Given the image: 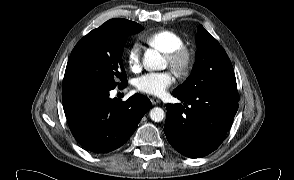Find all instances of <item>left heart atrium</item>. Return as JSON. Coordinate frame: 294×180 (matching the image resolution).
Listing matches in <instances>:
<instances>
[{
	"label": "left heart atrium",
	"instance_id": "obj_1",
	"mask_svg": "<svg viewBox=\"0 0 294 180\" xmlns=\"http://www.w3.org/2000/svg\"><path fill=\"white\" fill-rule=\"evenodd\" d=\"M175 82V76L171 71L150 72L135 79V87L144 94L161 96Z\"/></svg>",
	"mask_w": 294,
	"mask_h": 180
}]
</instances>
